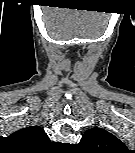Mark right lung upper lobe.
I'll use <instances>...</instances> for the list:
<instances>
[{"label":"right lung upper lobe","instance_id":"right-lung-upper-lobe-1","mask_svg":"<svg viewBox=\"0 0 135 153\" xmlns=\"http://www.w3.org/2000/svg\"><path fill=\"white\" fill-rule=\"evenodd\" d=\"M21 139L34 143H43L48 141V136L45 131L39 126H30L18 130L15 133Z\"/></svg>","mask_w":135,"mask_h":153}]
</instances>
